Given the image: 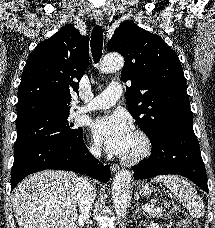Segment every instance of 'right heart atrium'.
Listing matches in <instances>:
<instances>
[{"mask_svg": "<svg viewBox=\"0 0 215 228\" xmlns=\"http://www.w3.org/2000/svg\"><path fill=\"white\" fill-rule=\"evenodd\" d=\"M87 151L93 158H99L102 155V147L94 140H89L87 144Z\"/></svg>", "mask_w": 215, "mask_h": 228, "instance_id": "d8ad5b80", "label": "right heart atrium"}]
</instances>
